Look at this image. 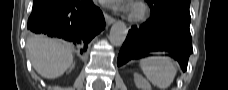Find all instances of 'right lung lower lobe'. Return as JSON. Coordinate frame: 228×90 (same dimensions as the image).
Listing matches in <instances>:
<instances>
[{"label": "right lung lower lobe", "instance_id": "1", "mask_svg": "<svg viewBox=\"0 0 228 90\" xmlns=\"http://www.w3.org/2000/svg\"><path fill=\"white\" fill-rule=\"evenodd\" d=\"M104 27L103 14L92 0H34L27 23L29 31L70 41L81 54Z\"/></svg>", "mask_w": 228, "mask_h": 90}]
</instances>
